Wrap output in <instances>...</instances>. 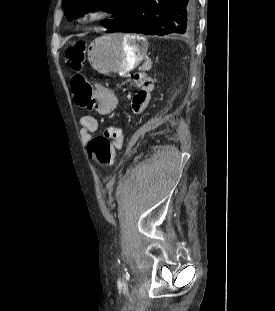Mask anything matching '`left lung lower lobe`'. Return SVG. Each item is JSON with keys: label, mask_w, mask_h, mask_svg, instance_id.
Instances as JSON below:
<instances>
[{"label": "left lung lower lobe", "mask_w": 275, "mask_h": 311, "mask_svg": "<svg viewBox=\"0 0 275 311\" xmlns=\"http://www.w3.org/2000/svg\"><path fill=\"white\" fill-rule=\"evenodd\" d=\"M195 27V0H142L136 17L116 31L147 35L189 34Z\"/></svg>", "instance_id": "0a47b994"}]
</instances>
